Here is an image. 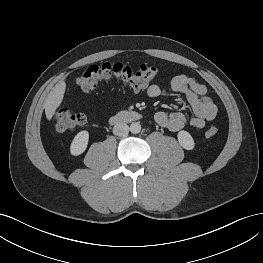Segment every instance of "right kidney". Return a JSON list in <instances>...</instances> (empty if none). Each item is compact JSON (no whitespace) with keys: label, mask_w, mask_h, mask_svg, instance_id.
Wrapping results in <instances>:
<instances>
[{"label":"right kidney","mask_w":263,"mask_h":263,"mask_svg":"<svg viewBox=\"0 0 263 263\" xmlns=\"http://www.w3.org/2000/svg\"><path fill=\"white\" fill-rule=\"evenodd\" d=\"M89 132L86 130L80 131L76 134L70 145V153L74 156L82 154L88 145Z\"/></svg>","instance_id":"ca27d5eb"}]
</instances>
